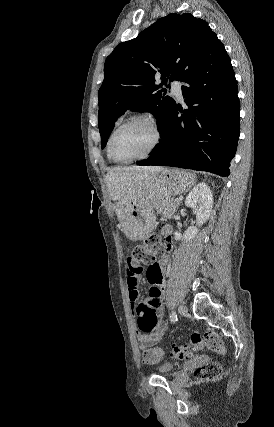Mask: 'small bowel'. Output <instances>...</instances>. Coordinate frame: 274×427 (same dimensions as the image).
Listing matches in <instances>:
<instances>
[{"label":"small bowel","instance_id":"small-bowel-1","mask_svg":"<svg viewBox=\"0 0 274 427\" xmlns=\"http://www.w3.org/2000/svg\"><path fill=\"white\" fill-rule=\"evenodd\" d=\"M127 259H131V256H127ZM169 262V257L157 261L162 274L161 279L157 275V266L155 264H149L147 269H129L127 271L128 300L132 307L139 297L137 289L139 279L148 278V282L151 285L148 292V299H140L139 304L135 306L136 312L134 316L137 320V325L141 326V331L154 332L153 334H137L140 348L143 345H153L158 342L167 329L166 319L164 318L165 314L163 306L160 304L159 295L161 296L166 288L164 274ZM149 319L150 323H147Z\"/></svg>","mask_w":274,"mask_h":427}]
</instances>
